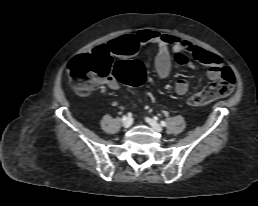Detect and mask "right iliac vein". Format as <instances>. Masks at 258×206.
Masks as SVG:
<instances>
[{
  "label": "right iliac vein",
  "instance_id": "1",
  "mask_svg": "<svg viewBox=\"0 0 258 206\" xmlns=\"http://www.w3.org/2000/svg\"><path fill=\"white\" fill-rule=\"evenodd\" d=\"M133 123V120L131 117H127V119L123 122V126L125 128H129Z\"/></svg>",
  "mask_w": 258,
  "mask_h": 206
}]
</instances>
